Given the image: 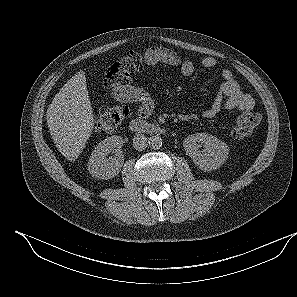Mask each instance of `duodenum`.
<instances>
[{"mask_svg":"<svg viewBox=\"0 0 297 297\" xmlns=\"http://www.w3.org/2000/svg\"><path fill=\"white\" fill-rule=\"evenodd\" d=\"M128 128L134 133H152L161 135L165 132V128L159 124L146 122L141 119H133L129 122Z\"/></svg>","mask_w":297,"mask_h":297,"instance_id":"obj_1","label":"duodenum"}]
</instances>
